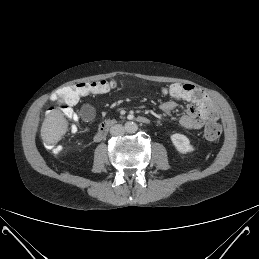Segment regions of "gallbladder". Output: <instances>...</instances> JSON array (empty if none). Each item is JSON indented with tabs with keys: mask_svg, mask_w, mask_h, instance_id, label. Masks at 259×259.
Returning a JSON list of instances; mask_svg holds the SVG:
<instances>
[{
	"mask_svg": "<svg viewBox=\"0 0 259 259\" xmlns=\"http://www.w3.org/2000/svg\"><path fill=\"white\" fill-rule=\"evenodd\" d=\"M80 116L86 122H91L96 117V112L94 110V105L91 102H84L81 105Z\"/></svg>",
	"mask_w": 259,
	"mask_h": 259,
	"instance_id": "obj_1",
	"label": "gallbladder"
}]
</instances>
